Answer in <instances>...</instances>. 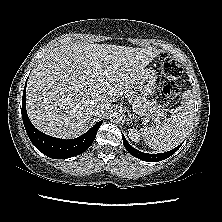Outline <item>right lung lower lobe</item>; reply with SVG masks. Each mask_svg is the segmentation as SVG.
Returning a JSON list of instances; mask_svg holds the SVG:
<instances>
[{"instance_id": "right-lung-lower-lobe-1", "label": "right lung lower lobe", "mask_w": 222, "mask_h": 222, "mask_svg": "<svg viewBox=\"0 0 222 222\" xmlns=\"http://www.w3.org/2000/svg\"><path fill=\"white\" fill-rule=\"evenodd\" d=\"M25 95L26 86L23 92L21 111L24 127L32 144L40 152L54 159H66L83 153L91 146L103 121L97 122L89 131L75 139L65 140L48 136L37 130L29 120L25 106Z\"/></svg>"}]
</instances>
